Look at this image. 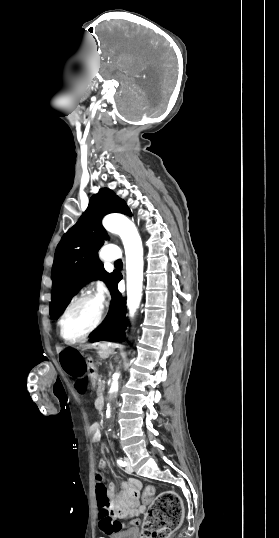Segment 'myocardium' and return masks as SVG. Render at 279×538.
Wrapping results in <instances>:
<instances>
[{
	"label": "myocardium",
	"mask_w": 279,
	"mask_h": 538,
	"mask_svg": "<svg viewBox=\"0 0 279 538\" xmlns=\"http://www.w3.org/2000/svg\"><path fill=\"white\" fill-rule=\"evenodd\" d=\"M101 227H102V229L105 230V227L103 226V224L101 225ZM85 300H94V301H96L98 303L97 315H96L93 323L91 324V326L83 334H81L76 339L70 341L64 336V332H63L65 320H66L67 316L69 315L70 311L76 305H78L79 303H81V302H83ZM104 313H105V306H104L101 298L92 290L84 291L83 293H81L80 295L75 297L66 306L63 313L61 314V316L58 319V323H57L58 324V331H59V335H60L61 339L65 343H67L69 345H74V344H77V343H80V342L84 341L87 337H89L100 326V324L102 323L103 318H104Z\"/></svg>",
	"instance_id": "1"
}]
</instances>
